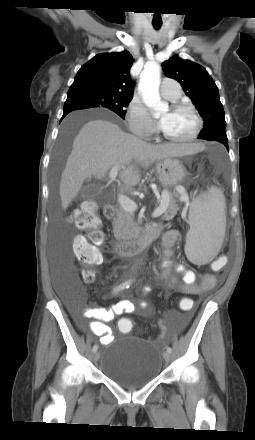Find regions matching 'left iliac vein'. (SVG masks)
Wrapping results in <instances>:
<instances>
[{"label": "left iliac vein", "mask_w": 255, "mask_h": 440, "mask_svg": "<svg viewBox=\"0 0 255 440\" xmlns=\"http://www.w3.org/2000/svg\"><path fill=\"white\" fill-rule=\"evenodd\" d=\"M163 356H164L165 361L170 362V360H171V353L166 351Z\"/></svg>", "instance_id": "obj_1"}]
</instances>
